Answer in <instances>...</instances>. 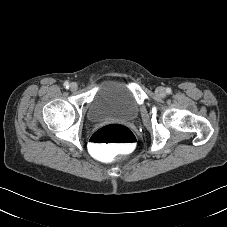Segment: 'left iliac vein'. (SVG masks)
Masks as SVG:
<instances>
[{
    "label": "left iliac vein",
    "instance_id": "obj_1",
    "mask_svg": "<svg viewBox=\"0 0 227 227\" xmlns=\"http://www.w3.org/2000/svg\"><path fill=\"white\" fill-rule=\"evenodd\" d=\"M156 93H157L159 96H161V97H163V96L166 95V91H165V89H164L163 87H158V88L156 89Z\"/></svg>",
    "mask_w": 227,
    "mask_h": 227
}]
</instances>
